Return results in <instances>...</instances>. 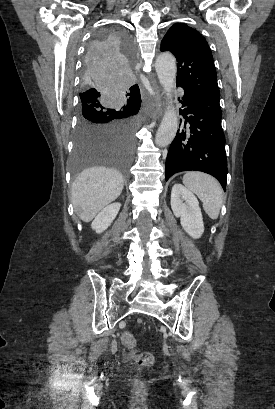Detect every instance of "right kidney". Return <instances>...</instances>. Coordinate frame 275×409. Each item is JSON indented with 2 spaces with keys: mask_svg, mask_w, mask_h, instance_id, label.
<instances>
[{
  "mask_svg": "<svg viewBox=\"0 0 275 409\" xmlns=\"http://www.w3.org/2000/svg\"><path fill=\"white\" fill-rule=\"evenodd\" d=\"M120 202H112V205L105 207L97 217H95L91 229L96 233H103L108 227H110L112 221H114L118 211H120Z\"/></svg>",
  "mask_w": 275,
  "mask_h": 409,
  "instance_id": "1",
  "label": "right kidney"
}]
</instances>
